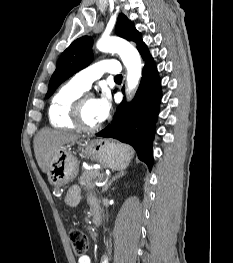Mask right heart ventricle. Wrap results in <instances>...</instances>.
<instances>
[{"label":"right heart ventricle","mask_w":233,"mask_h":263,"mask_svg":"<svg viewBox=\"0 0 233 263\" xmlns=\"http://www.w3.org/2000/svg\"><path fill=\"white\" fill-rule=\"evenodd\" d=\"M85 91L72 80L63 84L53 95L49 109V121L56 128H76L71 118V108L76 98Z\"/></svg>","instance_id":"1"}]
</instances>
